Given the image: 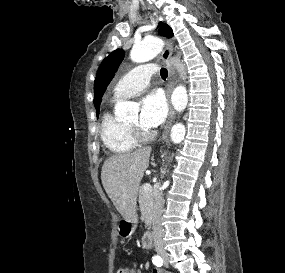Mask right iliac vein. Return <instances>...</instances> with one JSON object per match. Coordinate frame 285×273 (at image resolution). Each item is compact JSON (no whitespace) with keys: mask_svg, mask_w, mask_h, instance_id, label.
I'll list each match as a JSON object with an SVG mask.
<instances>
[{"mask_svg":"<svg viewBox=\"0 0 285 273\" xmlns=\"http://www.w3.org/2000/svg\"><path fill=\"white\" fill-rule=\"evenodd\" d=\"M161 257L167 262L169 257L167 254H161Z\"/></svg>","mask_w":285,"mask_h":273,"instance_id":"63e3f726","label":"right iliac vein"}]
</instances>
